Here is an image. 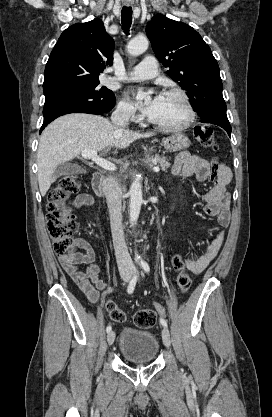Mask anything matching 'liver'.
Masks as SVG:
<instances>
[{
  "mask_svg": "<svg viewBox=\"0 0 272 417\" xmlns=\"http://www.w3.org/2000/svg\"><path fill=\"white\" fill-rule=\"evenodd\" d=\"M154 133H138L112 124L108 119L91 114H68L49 124L42 132L37 151L38 183L42 196L55 181V170L61 163L77 157L84 150L125 149L132 142Z\"/></svg>",
  "mask_w": 272,
  "mask_h": 417,
  "instance_id": "6515ba94",
  "label": "liver"
}]
</instances>
